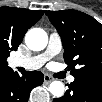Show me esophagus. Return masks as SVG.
I'll list each match as a JSON object with an SVG mask.
<instances>
[{
	"instance_id": "1",
	"label": "esophagus",
	"mask_w": 102,
	"mask_h": 102,
	"mask_svg": "<svg viewBox=\"0 0 102 102\" xmlns=\"http://www.w3.org/2000/svg\"><path fill=\"white\" fill-rule=\"evenodd\" d=\"M44 77H45L44 78V84H48V83H50L53 80L52 75L45 74Z\"/></svg>"
}]
</instances>
